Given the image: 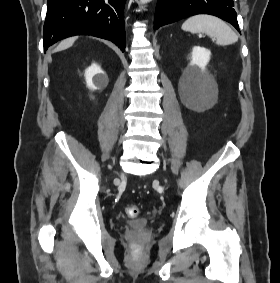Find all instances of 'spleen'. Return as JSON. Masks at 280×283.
<instances>
[{
	"mask_svg": "<svg viewBox=\"0 0 280 283\" xmlns=\"http://www.w3.org/2000/svg\"><path fill=\"white\" fill-rule=\"evenodd\" d=\"M182 30L191 33H204L216 44L226 46L238 41L237 34L221 19L211 15H195L182 24Z\"/></svg>",
	"mask_w": 280,
	"mask_h": 283,
	"instance_id": "1",
	"label": "spleen"
}]
</instances>
